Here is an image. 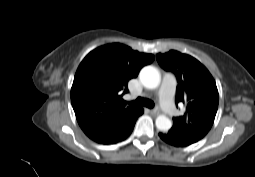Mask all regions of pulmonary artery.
Instances as JSON below:
<instances>
[{
  "mask_svg": "<svg viewBox=\"0 0 255 177\" xmlns=\"http://www.w3.org/2000/svg\"><path fill=\"white\" fill-rule=\"evenodd\" d=\"M176 89V81L171 73H165L158 91L160 105L168 115H173L176 112L173 104V98Z\"/></svg>",
  "mask_w": 255,
  "mask_h": 177,
  "instance_id": "pulmonary-artery-1",
  "label": "pulmonary artery"
}]
</instances>
